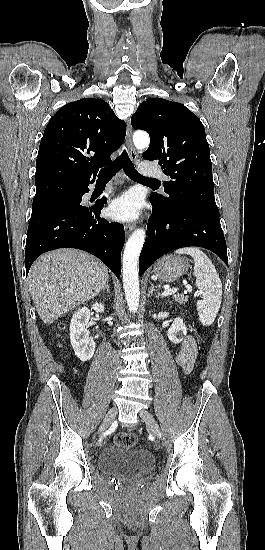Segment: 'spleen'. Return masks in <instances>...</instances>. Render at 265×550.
Returning a JSON list of instances; mask_svg holds the SVG:
<instances>
[{"label": "spleen", "instance_id": "obj_1", "mask_svg": "<svg viewBox=\"0 0 265 550\" xmlns=\"http://www.w3.org/2000/svg\"><path fill=\"white\" fill-rule=\"evenodd\" d=\"M177 254H188L194 259V276L196 286L201 293L197 301V311L201 323L205 326L213 324L222 300V283L219 275L208 256L197 247H185L176 250Z\"/></svg>", "mask_w": 265, "mask_h": 550}]
</instances>
